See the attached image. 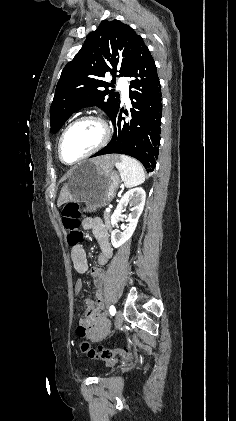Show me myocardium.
<instances>
[{"label":"myocardium","instance_id":"f54148a6","mask_svg":"<svg viewBox=\"0 0 236 421\" xmlns=\"http://www.w3.org/2000/svg\"><path fill=\"white\" fill-rule=\"evenodd\" d=\"M95 122V123H98L101 127H102V130H103V136H102V139H101V141L98 143V145H96L92 150H90L88 153H86L85 155H83V156H81L80 158H78V159H76L75 161H73V162H71V163H68V162H66L64 159H63V155H62V146H63V141H64V138H65V136H66V134L68 133V131L72 128V127H74L75 125H77V124H79V123H82V122ZM110 138H111V129H110V126H109V124L106 122V120L105 119H103L102 117H100V116H94V115H88V116H83V117H80V118H78V119H76V120H74L73 122H71L66 128H65V130L62 132V134H61V136H60V139H59V142H58V156H59V159H60V161L63 163V164H66V165H73V164H75V163H77V162H79V161H81V160H83V159H86V158H88V157H90V156H92L93 154H95V153H97L98 151H100L101 149H103L107 144H108V142H109V140H110Z\"/></svg>","mask_w":236,"mask_h":421}]
</instances>
